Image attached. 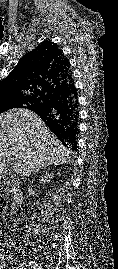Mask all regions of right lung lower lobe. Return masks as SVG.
<instances>
[{
	"mask_svg": "<svg viewBox=\"0 0 118 269\" xmlns=\"http://www.w3.org/2000/svg\"><path fill=\"white\" fill-rule=\"evenodd\" d=\"M32 111L47 116L58 139L72 150H77L79 112L74 82L51 97L45 105Z\"/></svg>",
	"mask_w": 118,
	"mask_h": 269,
	"instance_id": "1",
	"label": "right lung lower lobe"
}]
</instances>
